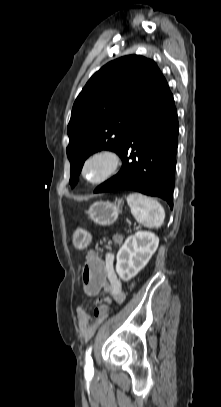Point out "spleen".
Here are the masks:
<instances>
[{"instance_id": "1", "label": "spleen", "mask_w": 221, "mask_h": 407, "mask_svg": "<svg viewBox=\"0 0 221 407\" xmlns=\"http://www.w3.org/2000/svg\"><path fill=\"white\" fill-rule=\"evenodd\" d=\"M127 203L132 215L142 225L159 228L163 224L165 211L157 200L140 193H131L127 196Z\"/></svg>"}]
</instances>
